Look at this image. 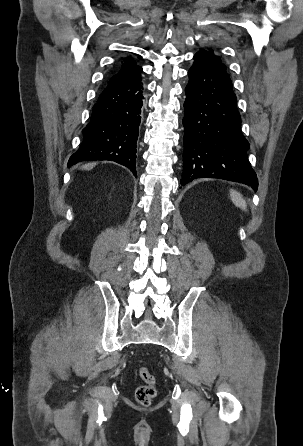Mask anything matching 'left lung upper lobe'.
<instances>
[{"instance_id":"1","label":"left lung upper lobe","mask_w":303,"mask_h":446,"mask_svg":"<svg viewBox=\"0 0 303 446\" xmlns=\"http://www.w3.org/2000/svg\"><path fill=\"white\" fill-rule=\"evenodd\" d=\"M199 53L207 55L217 66L226 71V65L221 61L220 57L217 56L212 49H203L200 50L197 54Z\"/></svg>"}]
</instances>
